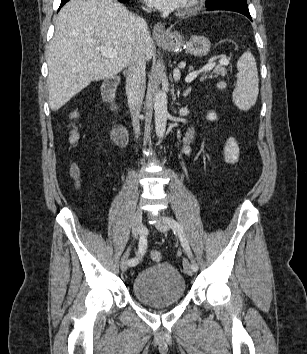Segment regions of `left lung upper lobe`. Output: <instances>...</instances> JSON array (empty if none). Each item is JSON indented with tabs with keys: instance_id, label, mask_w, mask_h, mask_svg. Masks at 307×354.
<instances>
[{
	"instance_id": "obj_1",
	"label": "left lung upper lobe",
	"mask_w": 307,
	"mask_h": 354,
	"mask_svg": "<svg viewBox=\"0 0 307 354\" xmlns=\"http://www.w3.org/2000/svg\"><path fill=\"white\" fill-rule=\"evenodd\" d=\"M216 5L248 6L246 0H206V7Z\"/></svg>"
}]
</instances>
